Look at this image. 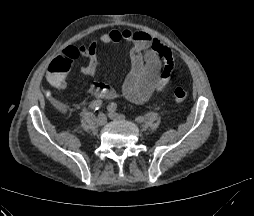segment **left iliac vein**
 I'll list each match as a JSON object with an SVG mask.
<instances>
[{"instance_id": "4c4485c4", "label": "left iliac vein", "mask_w": 254, "mask_h": 216, "mask_svg": "<svg viewBox=\"0 0 254 216\" xmlns=\"http://www.w3.org/2000/svg\"><path fill=\"white\" fill-rule=\"evenodd\" d=\"M108 116L110 119H114V120L123 119V117L121 115L115 113L114 111H110Z\"/></svg>"}]
</instances>
